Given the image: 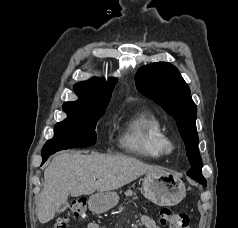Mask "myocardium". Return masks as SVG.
Listing matches in <instances>:
<instances>
[{"label":"myocardium","mask_w":238,"mask_h":228,"mask_svg":"<svg viewBox=\"0 0 238 228\" xmlns=\"http://www.w3.org/2000/svg\"><path fill=\"white\" fill-rule=\"evenodd\" d=\"M162 150L164 154H172L175 151V145L173 141L167 136H165L163 139Z\"/></svg>","instance_id":"f54148a6"}]
</instances>
